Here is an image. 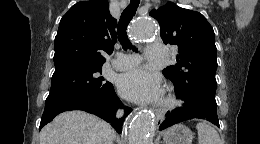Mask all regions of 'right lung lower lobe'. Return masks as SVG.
I'll use <instances>...</instances> for the list:
<instances>
[{"label": "right lung lower lobe", "mask_w": 260, "mask_h": 144, "mask_svg": "<svg viewBox=\"0 0 260 144\" xmlns=\"http://www.w3.org/2000/svg\"><path fill=\"white\" fill-rule=\"evenodd\" d=\"M118 108H123L125 110V115H128L132 111L131 108L122 104L114 89L102 95L93 97L69 96L49 99L46 100L39 129L49 123L61 112L83 110L111 123L112 127L118 133H121L123 118L117 119L115 117Z\"/></svg>", "instance_id": "98d812e1"}]
</instances>
